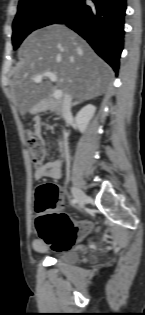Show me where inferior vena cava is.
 Masks as SVG:
<instances>
[{
    "instance_id": "inferior-vena-cava-1",
    "label": "inferior vena cava",
    "mask_w": 145,
    "mask_h": 315,
    "mask_svg": "<svg viewBox=\"0 0 145 315\" xmlns=\"http://www.w3.org/2000/svg\"><path fill=\"white\" fill-rule=\"evenodd\" d=\"M71 106H72V97L70 94L67 93L64 95L62 109H61L63 118H67L71 116Z\"/></svg>"
}]
</instances>
